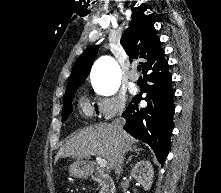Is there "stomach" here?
Segmentation results:
<instances>
[{
	"label": "stomach",
	"mask_w": 221,
	"mask_h": 193,
	"mask_svg": "<svg viewBox=\"0 0 221 193\" xmlns=\"http://www.w3.org/2000/svg\"><path fill=\"white\" fill-rule=\"evenodd\" d=\"M69 172L74 177H84L88 173L87 165L84 161H76L70 165Z\"/></svg>",
	"instance_id": "obj_1"
}]
</instances>
